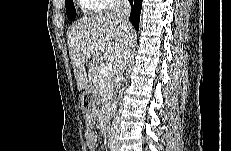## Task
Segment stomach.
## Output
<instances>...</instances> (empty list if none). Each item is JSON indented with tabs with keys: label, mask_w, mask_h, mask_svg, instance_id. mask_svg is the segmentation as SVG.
Listing matches in <instances>:
<instances>
[{
	"label": "stomach",
	"mask_w": 231,
	"mask_h": 151,
	"mask_svg": "<svg viewBox=\"0 0 231 151\" xmlns=\"http://www.w3.org/2000/svg\"><path fill=\"white\" fill-rule=\"evenodd\" d=\"M97 92L93 88H88L81 96V106L85 111H91L95 107Z\"/></svg>",
	"instance_id": "0dacf381"
}]
</instances>
